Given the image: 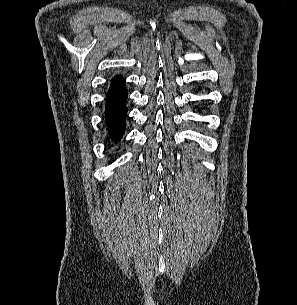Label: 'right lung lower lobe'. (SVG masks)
Listing matches in <instances>:
<instances>
[{
    "label": "right lung lower lobe",
    "instance_id": "1",
    "mask_svg": "<svg viewBox=\"0 0 297 305\" xmlns=\"http://www.w3.org/2000/svg\"><path fill=\"white\" fill-rule=\"evenodd\" d=\"M126 98L127 89L124 79L121 76H115L107 93L105 107L107 130L114 142L121 139L125 130Z\"/></svg>",
    "mask_w": 297,
    "mask_h": 305
}]
</instances>
